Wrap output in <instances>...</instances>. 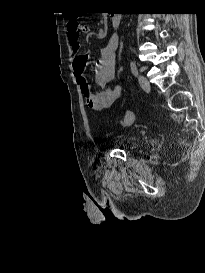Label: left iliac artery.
<instances>
[{
    "instance_id": "1",
    "label": "left iliac artery",
    "mask_w": 205,
    "mask_h": 273,
    "mask_svg": "<svg viewBox=\"0 0 205 273\" xmlns=\"http://www.w3.org/2000/svg\"><path fill=\"white\" fill-rule=\"evenodd\" d=\"M130 67H131V71H132L133 75L137 76L138 75V68H137L136 63L133 60L130 62Z\"/></svg>"
}]
</instances>
